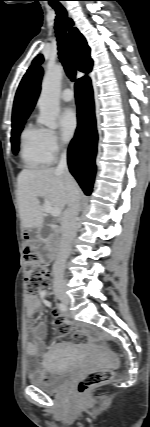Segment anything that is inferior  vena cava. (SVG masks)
Wrapping results in <instances>:
<instances>
[{"instance_id":"obj_1","label":"inferior vena cava","mask_w":150,"mask_h":427,"mask_svg":"<svg viewBox=\"0 0 150 427\" xmlns=\"http://www.w3.org/2000/svg\"><path fill=\"white\" fill-rule=\"evenodd\" d=\"M56 171L62 173L66 180L67 209L61 220L62 238L60 241L57 258L53 264V283L55 286L64 283L65 263L70 255L72 242L77 233V216L80 211L79 191L77 190L73 178L68 170L66 150H64L61 154L60 162L56 168Z\"/></svg>"}]
</instances>
